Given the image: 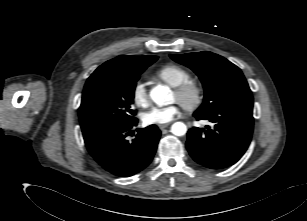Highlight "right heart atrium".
Returning <instances> with one entry per match:
<instances>
[{
	"label": "right heart atrium",
	"instance_id": "right-heart-atrium-1",
	"mask_svg": "<svg viewBox=\"0 0 307 221\" xmlns=\"http://www.w3.org/2000/svg\"><path fill=\"white\" fill-rule=\"evenodd\" d=\"M133 103L138 107H146L149 104V93L143 81L134 83L131 93Z\"/></svg>",
	"mask_w": 307,
	"mask_h": 221
}]
</instances>
